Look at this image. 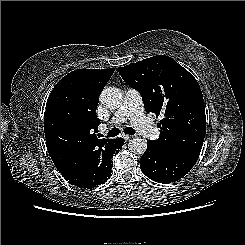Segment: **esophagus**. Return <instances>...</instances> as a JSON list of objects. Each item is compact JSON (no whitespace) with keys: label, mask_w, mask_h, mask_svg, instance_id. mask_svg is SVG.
I'll return each instance as SVG.
<instances>
[{"label":"esophagus","mask_w":245,"mask_h":245,"mask_svg":"<svg viewBox=\"0 0 245 245\" xmlns=\"http://www.w3.org/2000/svg\"><path fill=\"white\" fill-rule=\"evenodd\" d=\"M122 136H123V138H124L125 141H128V140L134 138V135H126V134H123Z\"/></svg>","instance_id":"34e87169"}]
</instances>
